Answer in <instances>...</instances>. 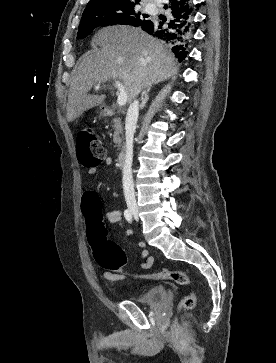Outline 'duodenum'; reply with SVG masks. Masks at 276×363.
Masks as SVG:
<instances>
[{
    "label": "duodenum",
    "mask_w": 276,
    "mask_h": 363,
    "mask_svg": "<svg viewBox=\"0 0 276 363\" xmlns=\"http://www.w3.org/2000/svg\"><path fill=\"white\" fill-rule=\"evenodd\" d=\"M104 115L109 117L114 114V112L110 108H104L103 109ZM117 162L120 166L124 165L125 162V152L123 150L119 151L117 154Z\"/></svg>",
    "instance_id": "duodenum-1"
}]
</instances>
